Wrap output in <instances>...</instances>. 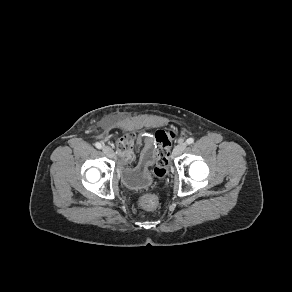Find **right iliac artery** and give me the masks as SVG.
I'll return each mask as SVG.
<instances>
[{
	"instance_id": "82829eb1",
	"label": "right iliac artery",
	"mask_w": 292,
	"mask_h": 292,
	"mask_svg": "<svg viewBox=\"0 0 292 292\" xmlns=\"http://www.w3.org/2000/svg\"><path fill=\"white\" fill-rule=\"evenodd\" d=\"M95 147L98 148V149H101V148H102V145H101V143L96 142V143H95Z\"/></svg>"
}]
</instances>
